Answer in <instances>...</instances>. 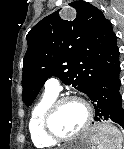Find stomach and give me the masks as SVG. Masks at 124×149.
I'll use <instances>...</instances> for the list:
<instances>
[{
  "mask_svg": "<svg viewBox=\"0 0 124 149\" xmlns=\"http://www.w3.org/2000/svg\"><path fill=\"white\" fill-rule=\"evenodd\" d=\"M105 124H100L97 127L92 128L87 134L83 135L80 139L69 145L66 149H93L95 143L92 140V136L97 133L99 128Z\"/></svg>",
  "mask_w": 124,
  "mask_h": 149,
  "instance_id": "0dacf381",
  "label": "stomach"
}]
</instances>
